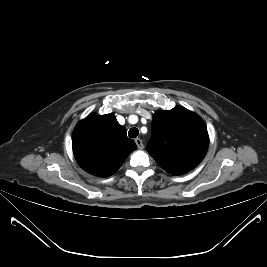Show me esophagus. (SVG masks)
Masks as SVG:
<instances>
[{
  "label": "esophagus",
  "mask_w": 267,
  "mask_h": 267,
  "mask_svg": "<svg viewBox=\"0 0 267 267\" xmlns=\"http://www.w3.org/2000/svg\"><path fill=\"white\" fill-rule=\"evenodd\" d=\"M135 143H136V145H137V147H138V149H143L144 148V145H143V142H142V140L141 139H139V138H137V139H135Z\"/></svg>",
  "instance_id": "34e87169"
}]
</instances>
